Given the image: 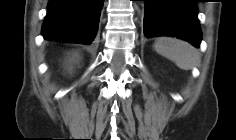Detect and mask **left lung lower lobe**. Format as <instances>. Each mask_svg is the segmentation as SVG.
I'll return each mask as SVG.
<instances>
[{"label":"left lung lower lobe","instance_id":"left-lung-lower-lobe-1","mask_svg":"<svg viewBox=\"0 0 236 140\" xmlns=\"http://www.w3.org/2000/svg\"><path fill=\"white\" fill-rule=\"evenodd\" d=\"M144 35L175 36L200 47L197 0H145Z\"/></svg>","mask_w":236,"mask_h":140}]
</instances>
